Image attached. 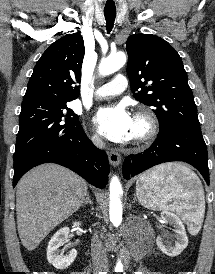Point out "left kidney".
<instances>
[{"mask_svg": "<svg viewBox=\"0 0 215 274\" xmlns=\"http://www.w3.org/2000/svg\"><path fill=\"white\" fill-rule=\"evenodd\" d=\"M161 218L165 223L174 227L175 244L173 245L168 235L158 236L156 239L159 249L170 257L178 256L188 245V237L185 227L177 215L169 211L161 212Z\"/></svg>", "mask_w": 215, "mask_h": 274, "instance_id": "left-kidney-1", "label": "left kidney"}]
</instances>
